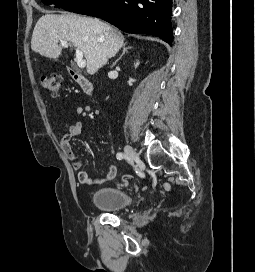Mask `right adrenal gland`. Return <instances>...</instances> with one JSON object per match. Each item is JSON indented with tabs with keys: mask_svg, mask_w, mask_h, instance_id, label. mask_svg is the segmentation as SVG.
I'll use <instances>...</instances> for the list:
<instances>
[{
	"mask_svg": "<svg viewBox=\"0 0 255 272\" xmlns=\"http://www.w3.org/2000/svg\"><path fill=\"white\" fill-rule=\"evenodd\" d=\"M126 45H127V43L123 44V52L120 55L119 59H121V57L127 52V50L131 48V47H126ZM119 59L116 60L115 64L118 62Z\"/></svg>",
	"mask_w": 255,
	"mask_h": 272,
	"instance_id": "obj_1",
	"label": "right adrenal gland"
}]
</instances>
